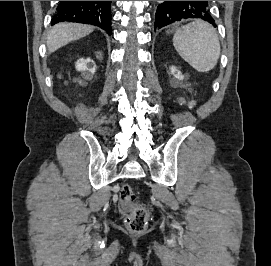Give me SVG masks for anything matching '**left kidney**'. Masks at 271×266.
Masks as SVG:
<instances>
[{"mask_svg": "<svg viewBox=\"0 0 271 266\" xmlns=\"http://www.w3.org/2000/svg\"><path fill=\"white\" fill-rule=\"evenodd\" d=\"M177 71L175 67H172L171 68V73L174 74V72ZM177 79L179 80H183V75L181 74V72H177L176 75H174Z\"/></svg>", "mask_w": 271, "mask_h": 266, "instance_id": "1", "label": "left kidney"}]
</instances>
